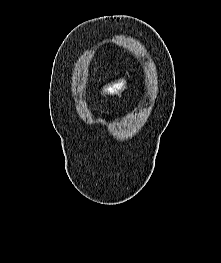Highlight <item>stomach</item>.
<instances>
[{"label": "stomach", "instance_id": "stomach-1", "mask_svg": "<svg viewBox=\"0 0 221 263\" xmlns=\"http://www.w3.org/2000/svg\"><path fill=\"white\" fill-rule=\"evenodd\" d=\"M126 80L121 78L115 82H111L105 85L102 89V94L104 95H115L121 94L126 89Z\"/></svg>", "mask_w": 221, "mask_h": 263}]
</instances>
